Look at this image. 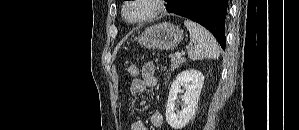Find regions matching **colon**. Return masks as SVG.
<instances>
[{
    "instance_id": "5ec220e1",
    "label": "colon",
    "mask_w": 299,
    "mask_h": 130,
    "mask_svg": "<svg viewBox=\"0 0 299 130\" xmlns=\"http://www.w3.org/2000/svg\"><path fill=\"white\" fill-rule=\"evenodd\" d=\"M128 73L130 77L132 78V81H135L139 79L140 77V69L136 64H132L128 68Z\"/></svg>"
}]
</instances>
